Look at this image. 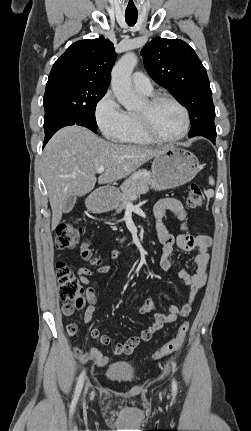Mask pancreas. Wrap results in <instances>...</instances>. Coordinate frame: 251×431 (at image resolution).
Listing matches in <instances>:
<instances>
[{
	"instance_id": "pancreas-1",
	"label": "pancreas",
	"mask_w": 251,
	"mask_h": 431,
	"mask_svg": "<svg viewBox=\"0 0 251 431\" xmlns=\"http://www.w3.org/2000/svg\"><path fill=\"white\" fill-rule=\"evenodd\" d=\"M149 186L154 187L150 173L147 171H140L129 177L120 186L121 193H119L120 204L117 206L116 213H120L126 208L134 199V196H139L149 190Z\"/></svg>"
}]
</instances>
